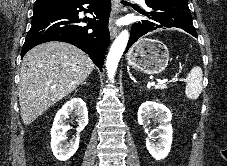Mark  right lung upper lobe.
<instances>
[{"label": "right lung upper lobe", "mask_w": 227, "mask_h": 166, "mask_svg": "<svg viewBox=\"0 0 227 166\" xmlns=\"http://www.w3.org/2000/svg\"><path fill=\"white\" fill-rule=\"evenodd\" d=\"M78 1V0H36L34 6L39 5H63L68 6L71 3Z\"/></svg>", "instance_id": "1"}]
</instances>
